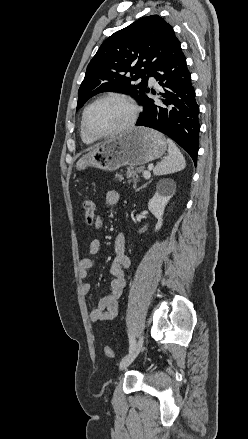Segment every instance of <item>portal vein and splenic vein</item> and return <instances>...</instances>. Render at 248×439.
<instances>
[{"label":"portal vein and splenic vein","instance_id":"obj_1","mask_svg":"<svg viewBox=\"0 0 248 439\" xmlns=\"http://www.w3.org/2000/svg\"><path fill=\"white\" fill-rule=\"evenodd\" d=\"M143 176H144L145 179H149L150 176H151L150 171H144V172H143Z\"/></svg>","mask_w":248,"mask_h":439}]
</instances>
